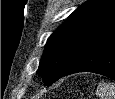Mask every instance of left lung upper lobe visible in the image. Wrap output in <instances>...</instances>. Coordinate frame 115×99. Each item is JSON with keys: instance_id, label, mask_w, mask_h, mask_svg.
Masks as SVG:
<instances>
[{"instance_id": "obj_1", "label": "left lung upper lobe", "mask_w": 115, "mask_h": 99, "mask_svg": "<svg viewBox=\"0 0 115 99\" xmlns=\"http://www.w3.org/2000/svg\"><path fill=\"white\" fill-rule=\"evenodd\" d=\"M115 28V3L88 0L47 40L38 74L50 85L57 81L93 43Z\"/></svg>"}]
</instances>
